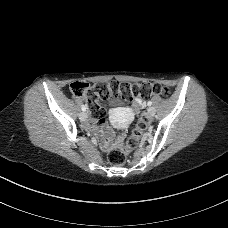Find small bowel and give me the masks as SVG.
I'll list each match as a JSON object with an SVG mask.
<instances>
[{
  "instance_id": "obj_1",
  "label": "small bowel",
  "mask_w": 228,
  "mask_h": 228,
  "mask_svg": "<svg viewBox=\"0 0 228 228\" xmlns=\"http://www.w3.org/2000/svg\"><path fill=\"white\" fill-rule=\"evenodd\" d=\"M134 107L143 109L144 104L141 100H137L134 104ZM113 121L118 127H121V128L125 127L127 124L126 121L121 120L116 115L113 116ZM87 128L90 130H94L92 119H91V122L87 124ZM96 136L100 141V145L102 149L106 151L112 148L114 145L122 144L124 141V134L123 133L115 134L113 129L108 124H104L101 131H96Z\"/></svg>"
}]
</instances>
